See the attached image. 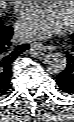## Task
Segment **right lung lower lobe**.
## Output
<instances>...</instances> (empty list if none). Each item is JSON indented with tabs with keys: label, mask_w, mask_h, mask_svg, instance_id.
Instances as JSON below:
<instances>
[{
	"label": "right lung lower lobe",
	"mask_w": 74,
	"mask_h": 122,
	"mask_svg": "<svg viewBox=\"0 0 74 122\" xmlns=\"http://www.w3.org/2000/svg\"><path fill=\"white\" fill-rule=\"evenodd\" d=\"M13 29L0 22V96L11 89V67L17 57L29 49V45H14L11 41Z\"/></svg>",
	"instance_id": "right-lung-lower-lobe-1"
}]
</instances>
